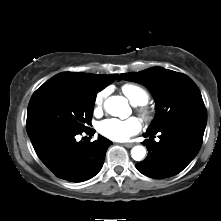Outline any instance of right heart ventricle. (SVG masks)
Masks as SVG:
<instances>
[{"instance_id":"obj_1","label":"right heart ventricle","mask_w":221,"mask_h":221,"mask_svg":"<svg viewBox=\"0 0 221 221\" xmlns=\"http://www.w3.org/2000/svg\"><path fill=\"white\" fill-rule=\"evenodd\" d=\"M121 90L133 105H144L149 100L147 91L139 85L128 83Z\"/></svg>"}]
</instances>
